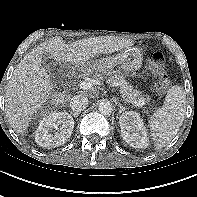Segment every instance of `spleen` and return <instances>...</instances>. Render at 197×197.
Wrapping results in <instances>:
<instances>
[{"mask_svg": "<svg viewBox=\"0 0 197 197\" xmlns=\"http://www.w3.org/2000/svg\"><path fill=\"white\" fill-rule=\"evenodd\" d=\"M186 113V93L173 85L167 92L163 106L150 117L151 138L156 149L165 147L177 134Z\"/></svg>", "mask_w": 197, "mask_h": 197, "instance_id": "1", "label": "spleen"}]
</instances>
